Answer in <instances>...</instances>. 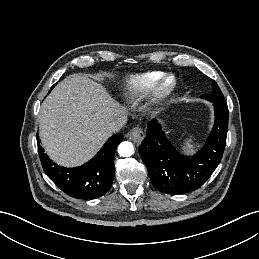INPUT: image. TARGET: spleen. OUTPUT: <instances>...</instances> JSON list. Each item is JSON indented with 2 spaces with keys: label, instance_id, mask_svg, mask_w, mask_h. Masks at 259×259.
Masks as SVG:
<instances>
[{
  "label": "spleen",
  "instance_id": "spleen-1",
  "mask_svg": "<svg viewBox=\"0 0 259 259\" xmlns=\"http://www.w3.org/2000/svg\"><path fill=\"white\" fill-rule=\"evenodd\" d=\"M183 148L186 150H188V149L192 150V148H193L192 140L191 139L187 140L185 142V146H183Z\"/></svg>",
  "mask_w": 259,
  "mask_h": 259
}]
</instances>
